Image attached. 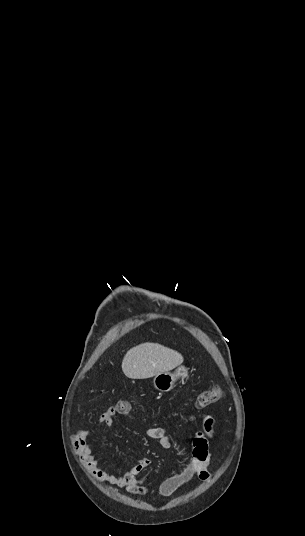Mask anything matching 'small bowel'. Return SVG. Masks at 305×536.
<instances>
[{
    "instance_id": "obj_1",
    "label": "small bowel",
    "mask_w": 305,
    "mask_h": 536,
    "mask_svg": "<svg viewBox=\"0 0 305 536\" xmlns=\"http://www.w3.org/2000/svg\"><path fill=\"white\" fill-rule=\"evenodd\" d=\"M116 411L109 407L101 414V419L106 427L113 422ZM147 437L157 440L164 449H171L173 446L171 438L167 435L164 427H151L146 432ZM214 436V419L210 415H204L200 428L188 434L191 444V455L187 465L177 474L167 478L159 488L160 494L164 497L172 496L182 485L195 478L199 481H206L210 477L208 465L211 457L210 443ZM81 439L78 444L81 451L82 462L87 471L94 479L107 482L119 488L126 489L129 493L137 496L148 493L145 485V478L140 477L151 463L147 457H141L134 460L133 466L121 473H108L100 467V460L93 452L89 439L90 434L81 432Z\"/></svg>"
}]
</instances>
